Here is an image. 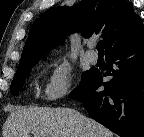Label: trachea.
Segmentation results:
<instances>
[{
    "instance_id": "obj_1",
    "label": "trachea",
    "mask_w": 144,
    "mask_h": 137,
    "mask_svg": "<svg viewBox=\"0 0 144 137\" xmlns=\"http://www.w3.org/2000/svg\"><path fill=\"white\" fill-rule=\"evenodd\" d=\"M97 50L99 54H103L104 53V43L103 41H99L97 43Z\"/></svg>"
}]
</instances>
